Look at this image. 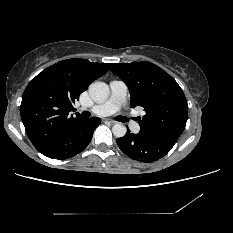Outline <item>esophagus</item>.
Masks as SVG:
<instances>
[{
    "instance_id": "1",
    "label": "esophagus",
    "mask_w": 233,
    "mask_h": 233,
    "mask_svg": "<svg viewBox=\"0 0 233 233\" xmlns=\"http://www.w3.org/2000/svg\"><path fill=\"white\" fill-rule=\"evenodd\" d=\"M105 121H108V122H110V123H112V124H115L116 122L114 121V120H112V119H105Z\"/></svg>"
}]
</instances>
